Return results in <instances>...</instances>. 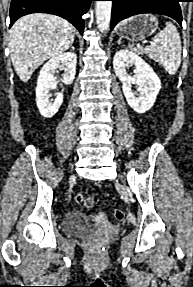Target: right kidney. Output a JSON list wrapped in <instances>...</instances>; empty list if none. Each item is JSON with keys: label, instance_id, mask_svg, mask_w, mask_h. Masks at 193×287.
Listing matches in <instances>:
<instances>
[{"label": "right kidney", "instance_id": "1", "mask_svg": "<svg viewBox=\"0 0 193 287\" xmlns=\"http://www.w3.org/2000/svg\"><path fill=\"white\" fill-rule=\"evenodd\" d=\"M77 55L66 52L57 54L47 61L40 71L36 87V103L40 114L45 118L53 117L59 110L63 95L58 93L53 102L50 101V90L56 87L54 73L57 69L64 70L63 83L71 84L75 79Z\"/></svg>", "mask_w": 193, "mask_h": 287}]
</instances>
